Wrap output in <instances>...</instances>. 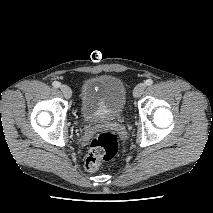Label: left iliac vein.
Listing matches in <instances>:
<instances>
[{
    "label": "left iliac vein",
    "instance_id": "obj_1",
    "mask_svg": "<svg viewBox=\"0 0 213 213\" xmlns=\"http://www.w3.org/2000/svg\"><path fill=\"white\" fill-rule=\"evenodd\" d=\"M145 88L146 86L144 83H139L133 90L134 97L136 98L140 97L143 94Z\"/></svg>",
    "mask_w": 213,
    "mask_h": 213
}]
</instances>
